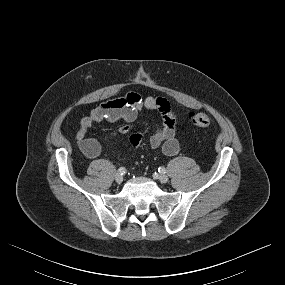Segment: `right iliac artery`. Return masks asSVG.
Here are the masks:
<instances>
[{
    "mask_svg": "<svg viewBox=\"0 0 285 285\" xmlns=\"http://www.w3.org/2000/svg\"><path fill=\"white\" fill-rule=\"evenodd\" d=\"M118 172H119L121 175H123V174L126 172V169H125L124 167H120V168L118 169Z\"/></svg>",
    "mask_w": 285,
    "mask_h": 285,
    "instance_id": "82829eb1",
    "label": "right iliac artery"
}]
</instances>
